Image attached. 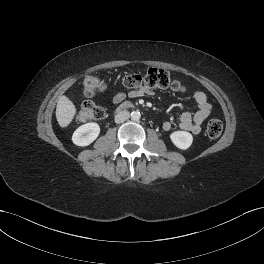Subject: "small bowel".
<instances>
[{
    "label": "small bowel",
    "mask_w": 264,
    "mask_h": 264,
    "mask_svg": "<svg viewBox=\"0 0 264 264\" xmlns=\"http://www.w3.org/2000/svg\"><path fill=\"white\" fill-rule=\"evenodd\" d=\"M148 91L144 88L132 90L129 92V96L132 98L140 97L147 94ZM192 96L196 101L199 110L192 114L191 112H184L181 114L178 125L182 130L188 131L193 135H198L201 132L202 124L210 115L212 106L207 99V96L204 92L199 90H194ZM125 99V94L119 92L114 95L112 99L113 107L118 106ZM163 130L169 131L172 128V124L169 121L163 123Z\"/></svg>",
    "instance_id": "obj_1"
}]
</instances>
